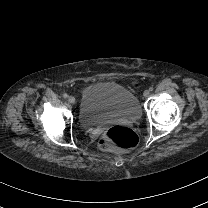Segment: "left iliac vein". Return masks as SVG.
Instances as JSON below:
<instances>
[{"label": "left iliac vein", "instance_id": "left-iliac-vein-1", "mask_svg": "<svg viewBox=\"0 0 208 208\" xmlns=\"http://www.w3.org/2000/svg\"><path fill=\"white\" fill-rule=\"evenodd\" d=\"M144 97H149L150 95V92L149 90H145L144 93H143Z\"/></svg>", "mask_w": 208, "mask_h": 208}]
</instances>
